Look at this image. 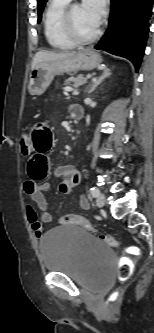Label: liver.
Segmentation results:
<instances>
[{"label": "liver", "mask_w": 154, "mask_h": 333, "mask_svg": "<svg viewBox=\"0 0 154 333\" xmlns=\"http://www.w3.org/2000/svg\"><path fill=\"white\" fill-rule=\"evenodd\" d=\"M77 52H52V51H39L33 58L32 69L39 63L51 62L56 60H61L69 57H73Z\"/></svg>", "instance_id": "obj_1"}]
</instances>
